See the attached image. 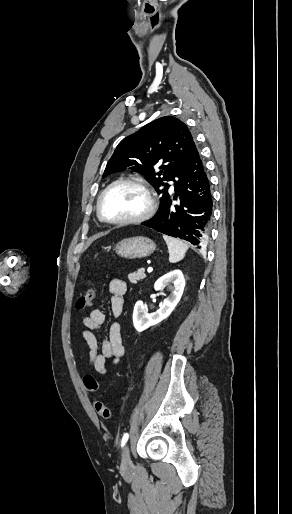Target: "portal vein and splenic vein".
<instances>
[{"instance_id":"1","label":"portal vein and splenic vein","mask_w":292,"mask_h":514,"mask_svg":"<svg viewBox=\"0 0 292 514\" xmlns=\"http://www.w3.org/2000/svg\"><path fill=\"white\" fill-rule=\"evenodd\" d=\"M153 268H148L147 272H152Z\"/></svg>"}]
</instances>
